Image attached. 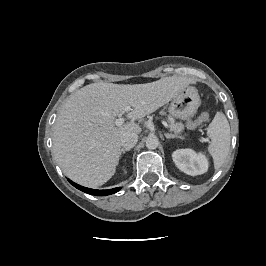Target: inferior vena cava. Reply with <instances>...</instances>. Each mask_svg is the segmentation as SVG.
<instances>
[{
	"label": "inferior vena cava",
	"instance_id": "602c4592",
	"mask_svg": "<svg viewBox=\"0 0 266 266\" xmlns=\"http://www.w3.org/2000/svg\"><path fill=\"white\" fill-rule=\"evenodd\" d=\"M137 141L138 135L136 133L128 132L123 134L121 138V146L124 149H131L136 145Z\"/></svg>",
	"mask_w": 266,
	"mask_h": 266
}]
</instances>
